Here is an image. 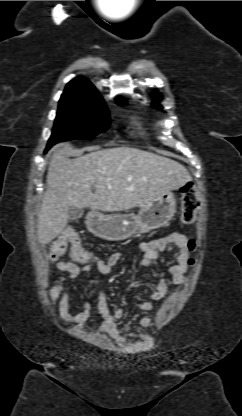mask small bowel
<instances>
[{"label":"small bowel","instance_id":"c3829d8e","mask_svg":"<svg viewBox=\"0 0 242 416\" xmlns=\"http://www.w3.org/2000/svg\"><path fill=\"white\" fill-rule=\"evenodd\" d=\"M168 245L175 246L177 251L173 256L172 262L168 266L166 273L160 277L156 287L147 293V299L144 300L140 296L138 297V307L143 311H150L155 302H158L165 297L170 281L178 285H184L186 282L184 273L188 266L189 249L188 239L181 231H173L160 238L141 242L138 246V249L141 252L139 264L143 267L154 265L159 254ZM121 258V252H114L106 259H97L93 266H80L72 261H60L57 263V270L61 271L63 274L59 277L58 284L52 289L50 299L54 304L57 303V311L65 322L77 325L84 323L89 318L93 307L92 301L87 299L83 303L82 311L77 313L70 312L69 301L74 280L82 273L92 269L99 274L107 275ZM87 282L89 284L99 283L96 279H89ZM64 283L67 284L64 285ZM96 308L102 318L100 331L109 335L117 344L124 345L127 343L129 337L136 335V333H122L118 329L117 320L124 316V310L119 308L114 312H111L107 304L105 293L101 287L97 290ZM150 321L149 317H143L140 319L139 325L141 327H147L150 324Z\"/></svg>","mask_w":242,"mask_h":416}]
</instances>
